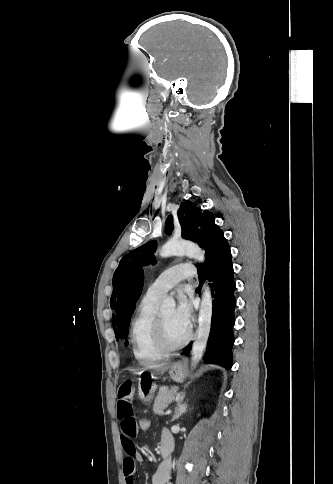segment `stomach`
<instances>
[{
    "mask_svg": "<svg viewBox=\"0 0 333 484\" xmlns=\"http://www.w3.org/2000/svg\"><path fill=\"white\" fill-rule=\"evenodd\" d=\"M167 371L172 380L181 382L184 378L185 364L182 362H175L170 365ZM156 390L157 386L150 379H139L138 395L142 401L149 402L153 398Z\"/></svg>",
    "mask_w": 333,
    "mask_h": 484,
    "instance_id": "stomach-1",
    "label": "stomach"
}]
</instances>
